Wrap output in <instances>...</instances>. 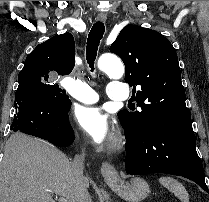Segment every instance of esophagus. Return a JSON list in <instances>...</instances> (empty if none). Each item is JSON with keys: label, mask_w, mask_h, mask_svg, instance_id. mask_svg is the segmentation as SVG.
Returning <instances> with one entry per match:
<instances>
[{"label": "esophagus", "mask_w": 209, "mask_h": 202, "mask_svg": "<svg viewBox=\"0 0 209 202\" xmlns=\"http://www.w3.org/2000/svg\"><path fill=\"white\" fill-rule=\"evenodd\" d=\"M96 19L97 21L105 22L107 20V14L99 13ZM101 174L107 182L114 181L118 178L117 170L107 161H104L101 165Z\"/></svg>", "instance_id": "esophagus-1"}]
</instances>
